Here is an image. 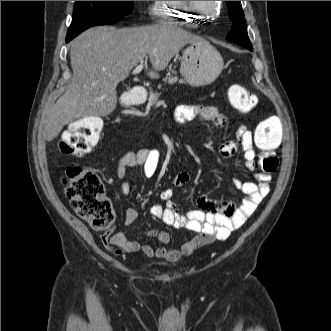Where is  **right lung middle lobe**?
Returning <instances> with one entry per match:
<instances>
[{"mask_svg": "<svg viewBox=\"0 0 331 331\" xmlns=\"http://www.w3.org/2000/svg\"><path fill=\"white\" fill-rule=\"evenodd\" d=\"M133 1H76L67 38L91 26L113 24L132 12Z\"/></svg>", "mask_w": 331, "mask_h": 331, "instance_id": "right-lung-middle-lobe-1", "label": "right lung middle lobe"}]
</instances>
